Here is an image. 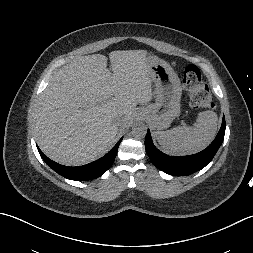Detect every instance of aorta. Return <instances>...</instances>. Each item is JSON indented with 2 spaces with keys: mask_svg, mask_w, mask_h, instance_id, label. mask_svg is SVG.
Here are the masks:
<instances>
[{
  "mask_svg": "<svg viewBox=\"0 0 253 253\" xmlns=\"http://www.w3.org/2000/svg\"><path fill=\"white\" fill-rule=\"evenodd\" d=\"M147 134V127L144 123L137 122L132 126V135L137 139L145 138Z\"/></svg>",
  "mask_w": 253,
  "mask_h": 253,
  "instance_id": "1",
  "label": "aorta"
}]
</instances>
